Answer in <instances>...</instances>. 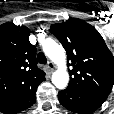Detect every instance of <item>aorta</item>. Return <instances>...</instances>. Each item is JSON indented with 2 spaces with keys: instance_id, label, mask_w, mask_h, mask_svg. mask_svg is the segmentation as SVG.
Masks as SVG:
<instances>
[{
  "instance_id": "1",
  "label": "aorta",
  "mask_w": 114,
  "mask_h": 114,
  "mask_svg": "<svg viewBox=\"0 0 114 114\" xmlns=\"http://www.w3.org/2000/svg\"><path fill=\"white\" fill-rule=\"evenodd\" d=\"M44 53L58 65V69L52 75V83L58 89H64L68 85L69 74L66 69V55L64 48L54 40H46L43 43Z\"/></svg>"
}]
</instances>
